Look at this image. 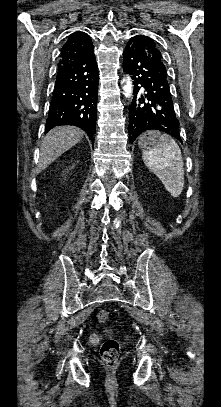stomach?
Wrapping results in <instances>:
<instances>
[{"mask_svg":"<svg viewBox=\"0 0 221 407\" xmlns=\"http://www.w3.org/2000/svg\"><path fill=\"white\" fill-rule=\"evenodd\" d=\"M157 137L158 133L147 132L140 137L138 145L140 148H148L156 143Z\"/></svg>","mask_w":221,"mask_h":407,"instance_id":"obj_1","label":"stomach"}]
</instances>
